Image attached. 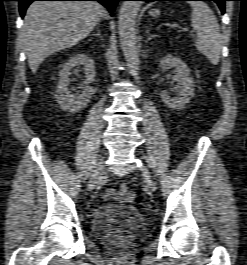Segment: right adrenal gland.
Segmentation results:
<instances>
[{"label":"right adrenal gland","instance_id":"2a0ac1e0","mask_svg":"<svg viewBox=\"0 0 247 265\" xmlns=\"http://www.w3.org/2000/svg\"><path fill=\"white\" fill-rule=\"evenodd\" d=\"M99 24L97 25V33L96 34H93L94 36H98L102 39V36H101V33H100V30H99Z\"/></svg>","mask_w":247,"mask_h":265}]
</instances>
